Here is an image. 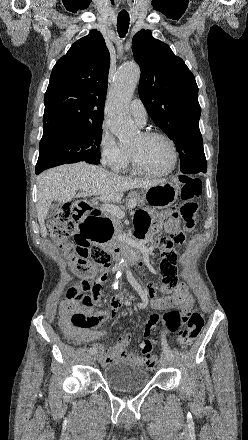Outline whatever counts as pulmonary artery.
Here are the masks:
<instances>
[{"mask_svg": "<svg viewBox=\"0 0 248 440\" xmlns=\"http://www.w3.org/2000/svg\"><path fill=\"white\" fill-rule=\"evenodd\" d=\"M130 113L140 126L147 121V111L140 99H134L130 104Z\"/></svg>", "mask_w": 248, "mask_h": 440, "instance_id": "e3ab8cb5", "label": "pulmonary artery"}]
</instances>
